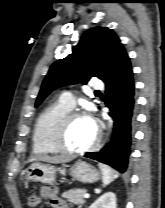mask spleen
Instances as JSON below:
<instances>
[{
	"label": "spleen",
	"instance_id": "1",
	"mask_svg": "<svg viewBox=\"0 0 165 208\" xmlns=\"http://www.w3.org/2000/svg\"><path fill=\"white\" fill-rule=\"evenodd\" d=\"M99 168L102 172L103 186L109 185L118 177V173L105 164H99Z\"/></svg>",
	"mask_w": 165,
	"mask_h": 208
}]
</instances>
